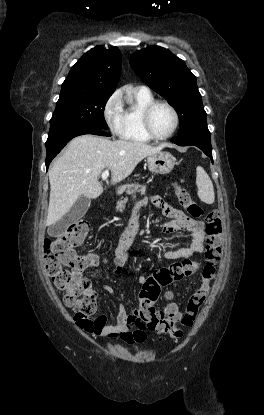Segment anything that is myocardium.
Returning a JSON list of instances; mask_svg holds the SVG:
<instances>
[{"label": "myocardium", "mask_w": 264, "mask_h": 415, "mask_svg": "<svg viewBox=\"0 0 264 415\" xmlns=\"http://www.w3.org/2000/svg\"><path fill=\"white\" fill-rule=\"evenodd\" d=\"M163 105L165 107H167L171 113L173 114L174 117V124L172 129L165 135H157L151 125V114L153 112V110L157 107ZM179 114L177 112V110L174 108L173 105H171L170 103H168L167 101H163V100H154L151 103L147 104L141 112V122H142V127L144 132L146 133V135H148L151 139L153 140H166L170 137H172L175 132L177 131L178 127H179Z\"/></svg>", "instance_id": "myocardium-1"}]
</instances>
